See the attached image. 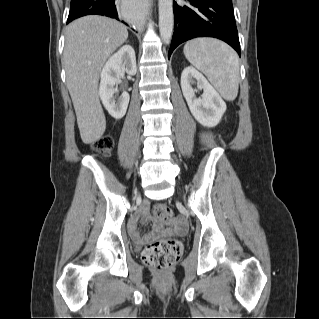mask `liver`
Listing matches in <instances>:
<instances>
[{
	"label": "liver",
	"instance_id": "1",
	"mask_svg": "<svg viewBox=\"0 0 319 319\" xmlns=\"http://www.w3.org/2000/svg\"><path fill=\"white\" fill-rule=\"evenodd\" d=\"M128 38L127 27L104 16L88 15L67 26L63 53L67 88L85 144L99 140L106 129L98 81L107 58Z\"/></svg>",
	"mask_w": 319,
	"mask_h": 319
}]
</instances>
